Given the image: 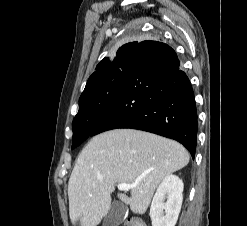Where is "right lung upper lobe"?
I'll return each mask as SVG.
<instances>
[{
  "mask_svg": "<svg viewBox=\"0 0 247 226\" xmlns=\"http://www.w3.org/2000/svg\"><path fill=\"white\" fill-rule=\"evenodd\" d=\"M138 44V42H131V43H127L125 45H123L122 47L119 48V50L117 51V54L119 55H127L130 56L133 53L134 48L136 47V45ZM108 63V59L104 58L96 67V71L89 77L86 87L84 89L83 92H85L96 80V78L101 74V71L105 68V66Z\"/></svg>",
  "mask_w": 247,
  "mask_h": 226,
  "instance_id": "obj_1",
  "label": "right lung upper lobe"
}]
</instances>
